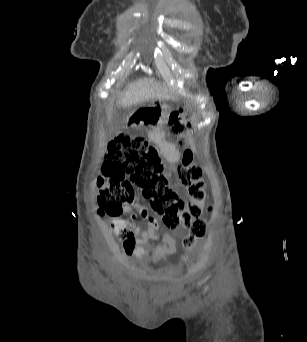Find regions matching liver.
Instances as JSON below:
<instances>
[{"mask_svg":"<svg viewBox=\"0 0 307 342\" xmlns=\"http://www.w3.org/2000/svg\"><path fill=\"white\" fill-rule=\"evenodd\" d=\"M172 98H174L173 92L156 78H139L129 84L127 90L121 94L119 104L122 108H130L148 100H172Z\"/></svg>","mask_w":307,"mask_h":342,"instance_id":"liver-1","label":"liver"}]
</instances>
